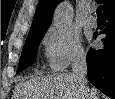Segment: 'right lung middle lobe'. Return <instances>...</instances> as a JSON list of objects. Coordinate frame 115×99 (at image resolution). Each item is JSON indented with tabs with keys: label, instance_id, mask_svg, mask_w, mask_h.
<instances>
[{
	"label": "right lung middle lobe",
	"instance_id": "dd1d6c3e",
	"mask_svg": "<svg viewBox=\"0 0 115 99\" xmlns=\"http://www.w3.org/2000/svg\"><path fill=\"white\" fill-rule=\"evenodd\" d=\"M43 36L44 34H36L27 37L21 53L17 73L21 72L34 62L38 45Z\"/></svg>",
	"mask_w": 115,
	"mask_h": 99
}]
</instances>
